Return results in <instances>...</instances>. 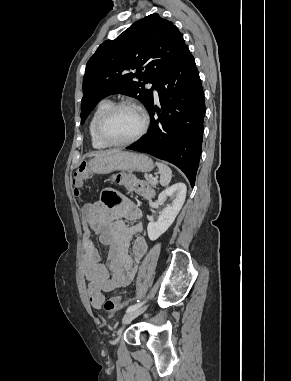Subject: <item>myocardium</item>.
I'll return each instance as SVG.
<instances>
[{"mask_svg":"<svg viewBox=\"0 0 291 381\" xmlns=\"http://www.w3.org/2000/svg\"><path fill=\"white\" fill-rule=\"evenodd\" d=\"M125 107H129V108H133L137 110L141 115L142 124L139 131L132 138L125 141H114L106 135L104 130V125L112 114H114L117 110L121 108H125ZM148 125H149V118L146 111L143 109V107L133 101L125 100V101L112 104L105 112L102 113V115L99 117L96 124V132L98 137L107 145L114 146V147H122V146L131 145L137 142L138 140H140L146 133Z\"/></svg>","mask_w":291,"mask_h":381,"instance_id":"obj_1","label":"myocardium"}]
</instances>
